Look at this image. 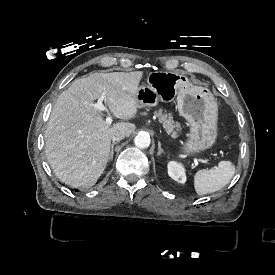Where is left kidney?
I'll use <instances>...</instances> for the list:
<instances>
[{"instance_id": "obj_1", "label": "left kidney", "mask_w": 275, "mask_h": 275, "mask_svg": "<svg viewBox=\"0 0 275 275\" xmlns=\"http://www.w3.org/2000/svg\"><path fill=\"white\" fill-rule=\"evenodd\" d=\"M168 175L175 181L184 184L186 182L185 168L181 163L170 161L167 165Z\"/></svg>"}]
</instances>
